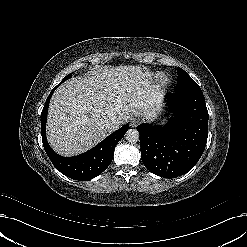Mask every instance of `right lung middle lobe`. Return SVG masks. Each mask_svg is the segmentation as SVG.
Returning a JSON list of instances; mask_svg holds the SVG:
<instances>
[{
    "mask_svg": "<svg viewBox=\"0 0 247 247\" xmlns=\"http://www.w3.org/2000/svg\"><path fill=\"white\" fill-rule=\"evenodd\" d=\"M70 77H71V74H68V75L61 81V83H63L64 81H66V80L69 79ZM61 83H60V84H61ZM60 84H59V85H60ZM59 85H58V86H59Z\"/></svg>",
    "mask_w": 247,
    "mask_h": 247,
    "instance_id": "1",
    "label": "right lung middle lobe"
}]
</instances>
